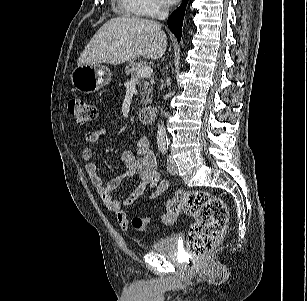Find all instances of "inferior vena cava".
<instances>
[{"mask_svg":"<svg viewBox=\"0 0 307 301\" xmlns=\"http://www.w3.org/2000/svg\"><path fill=\"white\" fill-rule=\"evenodd\" d=\"M169 10L166 6L162 10L159 11L158 13V19L159 20H165L168 17ZM164 99H167V96L164 97Z\"/></svg>","mask_w":307,"mask_h":301,"instance_id":"602c4592","label":"inferior vena cava"}]
</instances>
